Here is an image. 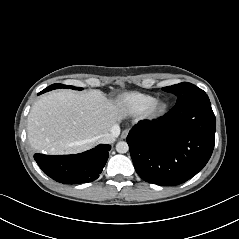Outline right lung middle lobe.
I'll return each mask as SVG.
<instances>
[{
  "label": "right lung middle lobe",
  "instance_id": "right-lung-middle-lobe-1",
  "mask_svg": "<svg viewBox=\"0 0 239 239\" xmlns=\"http://www.w3.org/2000/svg\"><path fill=\"white\" fill-rule=\"evenodd\" d=\"M58 88H70V89H74L76 90L77 88L74 87V86H68V85H62V84H53L49 87H47L46 89L43 90V93L44 92H47V91H50V90H53V89H58ZM78 90H82V88H78Z\"/></svg>",
  "mask_w": 239,
  "mask_h": 239
}]
</instances>
